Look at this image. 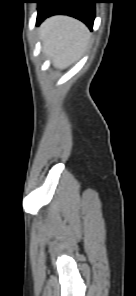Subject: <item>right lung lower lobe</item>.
Listing matches in <instances>:
<instances>
[{"label": "right lung lower lobe", "mask_w": 136, "mask_h": 296, "mask_svg": "<svg viewBox=\"0 0 136 296\" xmlns=\"http://www.w3.org/2000/svg\"><path fill=\"white\" fill-rule=\"evenodd\" d=\"M98 0H40L36 25L55 14H65L84 22L91 30L95 18V6Z\"/></svg>", "instance_id": "obj_1"}]
</instances>
